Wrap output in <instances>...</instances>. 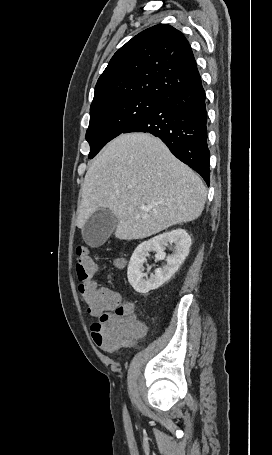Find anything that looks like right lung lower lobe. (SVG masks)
<instances>
[{
    "mask_svg": "<svg viewBox=\"0 0 272 455\" xmlns=\"http://www.w3.org/2000/svg\"><path fill=\"white\" fill-rule=\"evenodd\" d=\"M206 123L205 91L199 78L164 98L161 106L123 133L148 132L159 137L179 160L198 172L209 185Z\"/></svg>",
    "mask_w": 272,
    "mask_h": 455,
    "instance_id": "1",
    "label": "right lung lower lobe"
}]
</instances>
